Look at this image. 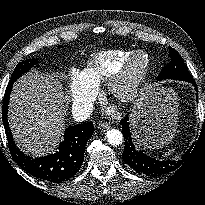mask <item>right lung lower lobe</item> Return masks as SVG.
Returning <instances> with one entry per match:
<instances>
[{"label": "right lung lower lobe", "mask_w": 205, "mask_h": 205, "mask_svg": "<svg viewBox=\"0 0 205 205\" xmlns=\"http://www.w3.org/2000/svg\"><path fill=\"white\" fill-rule=\"evenodd\" d=\"M12 86L13 83H9L4 94L2 121L13 160L24 171L37 179L51 183L67 181L82 166L86 143L94 131L92 122L68 127L65 130L64 141L59 145L56 153L33 159L20 151L9 129L7 110Z\"/></svg>", "instance_id": "obj_1"}]
</instances>
